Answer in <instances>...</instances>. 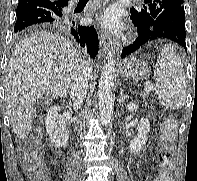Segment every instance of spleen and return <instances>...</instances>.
<instances>
[{
  "mask_svg": "<svg viewBox=\"0 0 197 181\" xmlns=\"http://www.w3.org/2000/svg\"><path fill=\"white\" fill-rule=\"evenodd\" d=\"M155 93L166 108L180 109L186 101L183 63L174 46L166 44L154 65Z\"/></svg>",
  "mask_w": 197,
  "mask_h": 181,
  "instance_id": "obj_1",
  "label": "spleen"
}]
</instances>
